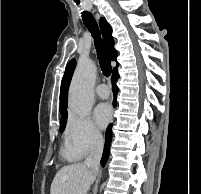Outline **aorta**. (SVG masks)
Segmentation results:
<instances>
[{"label":"aorta","mask_w":201,"mask_h":194,"mask_svg":"<svg viewBox=\"0 0 201 194\" xmlns=\"http://www.w3.org/2000/svg\"><path fill=\"white\" fill-rule=\"evenodd\" d=\"M97 68L90 59H81L76 67L69 88V108L75 114L85 117L93 106V88Z\"/></svg>","instance_id":"aorta-1"}]
</instances>
